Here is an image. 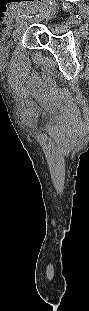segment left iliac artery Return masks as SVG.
<instances>
[{"label":"left iliac artery","mask_w":89,"mask_h":311,"mask_svg":"<svg viewBox=\"0 0 89 311\" xmlns=\"http://www.w3.org/2000/svg\"><path fill=\"white\" fill-rule=\"evenodd\" d=\"M20 18L18 19V22L20 23V24H23V23H25V20L27 19V17H29V16H26V15H22V16H19Z\"/></svg>","instance_id":"1"}]
</instances>
